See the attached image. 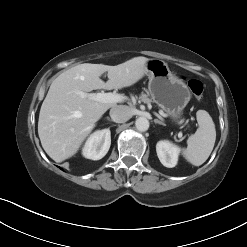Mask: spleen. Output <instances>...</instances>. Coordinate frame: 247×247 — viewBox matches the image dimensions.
Instances as JSON below:
<instances>
[{"label": "spleen", "instance_id": "obj_1", "mask_svg": "<svg viewBox=\"0 0 247 247\" xmlns=\"http://www.w3.org/2000/svg\"><path fill=\"white\" fill-rule=\"evenodd\" d=\"M199 128L187 140V148L183 150L184 157L194 166L202 165L211 154L216 130L211 116L205 110L197 112Z\"/></svg>", "mask_w": 247, "mask_h": 247}]
</instances>
